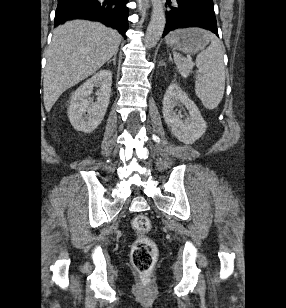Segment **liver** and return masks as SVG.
Returning <instances> with one entry per match:
<instances>
[{"instance_id": "6515ba94", "label": "liver", "mask_w": 286, "mask_h": 308, "mask_svg": "<svg viewBox=\"0 0 286 308\" xmlns=\"http://www.w3.org/2000/svg\"><path fill=\"white\" fill-rule=\"evenodd\" d=\"M121 35L101 23L73 20L53 31L43 79V102L50 111L60 95L93 75L118 51Z\"/></svg>"}]
</instances>
